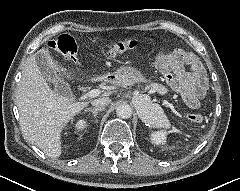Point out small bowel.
<instances>
[{"mask_svg":"<svg viewBox=\"0 0 240 191\" xmlns=\"http://www.w3.org/2000/svg\"><path fill=\"white\" fill-rule=\"evenodd\" d=\"M163 57L158 59L157 66ZM165 58L163 71L169 85L181 94L189 107L196 108L209 88L203 65L194 53L182 49L172 51Z\"/></svg>","mask_w":240,"mask_h":191,"instance_id":"1","label":"small bowel"}]
</instances>
